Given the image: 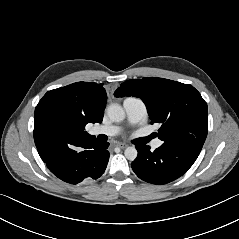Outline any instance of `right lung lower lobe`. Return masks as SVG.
<instances>
[{
	"mask_svg": "<svg viewBox=\"0 0 239 239\" xmlns=\"http://www.w3.org/2000/svg\"><path fill=\"white\" fill-rule=\"evenodd\" d=\"M108 142L96 138H72L59 142L42 160L59 179L77 184L99 178L108 160Z\"/></svg>",
	"mask_w": 239,
	"mask_h": 239,
	"instance_id": "1",
	"label": "right lung lower lobe"
}]
</instances>
